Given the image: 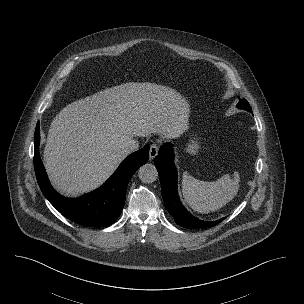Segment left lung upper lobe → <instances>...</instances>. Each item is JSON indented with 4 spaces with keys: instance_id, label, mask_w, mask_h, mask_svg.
<instances>
[{
    "instance_id": "5c2ea615",
    "label": "left lung upper lobe",
    "mask_w": 304,
    "mask_h": 304,
    "mask_svg": "<svg viewBox=\"0 0 304 304\" xmlns=\"http://www.w3.org/2000/svg\"><path fill=\"white\" fill-rule=\"evenodd\" d=\"M237 107L239 109H244L246 111L252 112L250 104L245 99L240 100L239 103L237 104Z\"/></svg>"
}]
</instances>
